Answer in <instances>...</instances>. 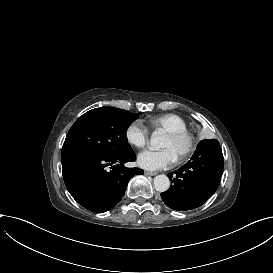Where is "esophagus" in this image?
Listing matches in <instances>:
<instances>
[{
  "mask_svg": "<svg viewBox=\"0 0 273 273\" xmlns=\"http://www.w3.org/2000/svg\"><path fill=\"white\" fill-rule=\"evenodd\" d=\"M144 173L145 175H149V176H155L158 174L157 172H150V171H145Z\"/></svg>",
  "mask_w": 273,
  "mask_h": 273,
  "instance_id": "obj_1",
  "label": "esophagus"
}]
</instances>
